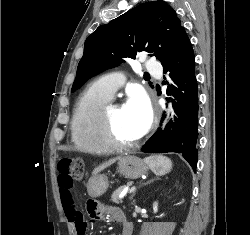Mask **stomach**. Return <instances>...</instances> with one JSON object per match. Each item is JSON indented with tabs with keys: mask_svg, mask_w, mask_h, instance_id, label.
I'll use <instances>...</instances> for the list:
<instances>
[{
	"mask_svg": "<svg viewBox=\"0 0 250 235\" xmlns=\"http://www.w3.org/2000/svg\"><path fill=\"white\" fill-rule=\"evenodd\" d=\"M148 170L145 161L136 156L126 155L118 160V172L128 179H137ZM109 182L105 175H95L88 183L87 191L91 197L102 196L108 189Z\"/></svg>",
	"mask_w": 250,
	"mask_h": 235,
	"instance_id": "obj_1",
	"label": "stomach"
}]
</instances>
